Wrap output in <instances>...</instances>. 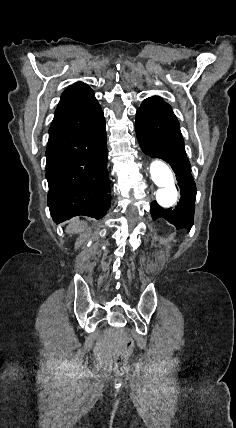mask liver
<instances>
[{"label":"liver","mask_w":236,"mask_h":428,"mask_svg":"<svg viewBox=\"0 0 236 428\" xmlns=\"http://www.w3.org/2000/svg\"><path fill=\"white\" fill-rule=\"evenodd\" d=\"M66 232H68V234H73V232H80V226L78 222H76V220H72L68 228H66Z\"/></svg>","instance_id":"obj_1"}]
</instances>
